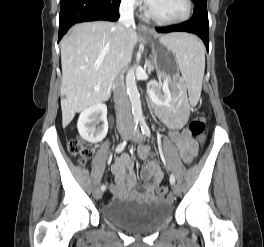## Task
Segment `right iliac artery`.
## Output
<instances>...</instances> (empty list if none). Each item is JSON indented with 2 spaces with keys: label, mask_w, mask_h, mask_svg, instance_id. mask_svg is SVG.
I'll return each instance as SVG.
<instances>
[{
  "label": "right iliac artery",
  "mask_w": 264,
  "mask_h": 247,
  "mask_svg": "<svg viewBox=\"0 0 264 247\" xmlns=\"http://www.w3.org/2000/svg\"><path fill=\"white\" fill-rule=\"evenodd\" d=\"M137 125H138V121H134V131L137 129ZM126 144H127V141H123L121 142L117 147H116V152L117 153H120L122 152L125 147H126ZM106 189V186L105 185H102L101 186V190L104 191Z\"/></svg>",
  "instance_id": "1"
}]
</instances>
